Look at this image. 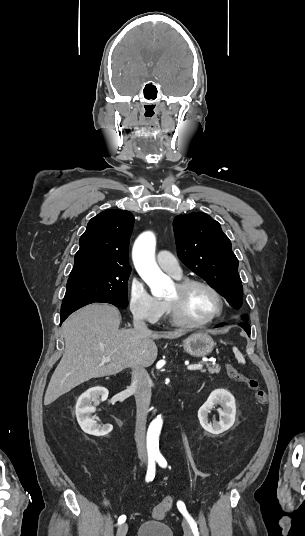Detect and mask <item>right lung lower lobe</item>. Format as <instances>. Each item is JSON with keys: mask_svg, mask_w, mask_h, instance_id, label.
Here are the masks:
<instances>
[{"mask_svg": "<svg viewBox=\"0 0 305 536\" xmlns=\"http://www.w3.org/2000/svg\"><path fill=\"white\" fill-rule=\"evenodd\" d=\"M90 303H72L61 306L60 324L74 311Z\"/></svg>", "mask_w": 305, "mask_h": 536, "instance_id": "1", "label": "right lung lower lobe"}]
</instances>
